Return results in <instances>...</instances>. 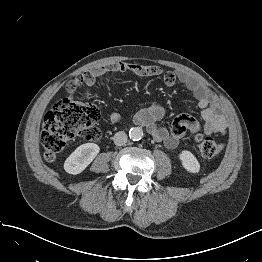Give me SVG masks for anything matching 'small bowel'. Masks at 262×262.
I'll use <instances>...</instances> for the list:
<instances>
[{
  "label": "small bowel",
  "instance_id": "c3829d8e",
  "mask_svg": "<svg viewBox=\"0 0 262 262\" xmlns=\"http://www.w3.org/2000/svg\"><path fill=\"white\" fill-rule=\"evenodd\" d=\"M132 72L136 76H157L163 73L161 67L156 65L141 66L130 65L127 62H118L104 65L89 72L92 80L86 85L92 86L98 79H107L113 74ZM167 86H174L180 82L197 100L200 108L201 121H196L187 114L175 118L171 130L157 125L164 116L163 108L158 104L140 109L135 115V122L147 129L156 140L163 142L169 149L175 148L186 132H203L206 135H225L228 126L222 114L223 105L218 98L198 79L183 71H168L164 74ZM112 125L120 123L116 113L110 115Z\"/></svg>",
  "mask_w": 262,
  "mask_h": 262
}]
</instances>
